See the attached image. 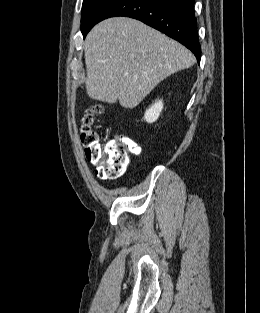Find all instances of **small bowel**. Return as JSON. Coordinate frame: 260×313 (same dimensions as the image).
<instances>
[{
	"instance_id": "small-bowel-1",
	"label": "small bowel",
	"mask_w": 260,
	"mask_h": 313,
	"mask_svg": "<svg viewBox=\"0 0 260 313\" xmlns=\"http://www.w3.org/2000/svg\"><path fill=\"white\" fill-rule=\"evenodd\" d=\"M133 153L135 155H140L141 154V149L139 147L133 146Z\"/></svg>"
}]
</instances>
